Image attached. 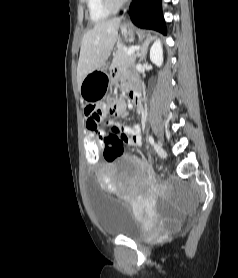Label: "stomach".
Segmentation results:
<instances>
[{
    "mask_svg": "<svg viewBox=\"0 0 238 278\" xmlns=\"http://www.w3.org/2000/svg\"><path fill=\"white\" fill-rule=\"evenodd\" d=\"M121 34L123 36H133L136 32L134 26L124 23L120 26ZM110 83L109 75L107 74V67L90 72L83 79L80 86L81 98L85 101H97L105 94Z\"/></svg>",
    "mask_w": 238,
    "mask_h": 278,
    "instance_id": "0dacf381",
    "label": "stomach"
}]
</instances>
